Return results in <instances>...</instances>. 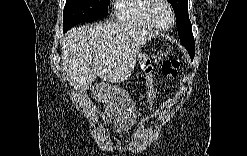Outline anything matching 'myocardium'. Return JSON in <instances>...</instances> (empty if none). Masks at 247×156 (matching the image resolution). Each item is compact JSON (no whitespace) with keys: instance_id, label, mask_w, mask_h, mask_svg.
<instances>
[{"instance_id":"1","label":"myocardium","mask_w":247,"mask_h":156,"mask_svg":"<svg viewBox=\"0 0 247 156\" xmlns=\"http://www.w3.org/2000/svg\"><path fill=\"white\" fill-rule=\"evenodd\" d=\"M161 4L165 5L168 8L170 15H171V22L167 26H162L159 23H157V21L154 17V12H155L156 8ZM148 17H149L151 23L153 24V26L159 30H168L175 24V13H174L173 8L170 5V3L166 0H153V1H151V3L149 4V7H148Z\"/></svg>"}]
</instances>
